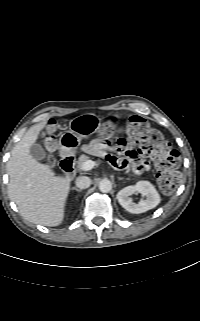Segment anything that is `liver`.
Here are the masks:
<instances>
[{"label": "liver", "mask_w": 200, "mask_h": 321, "mask_svg": "<svg viewBox=\"0 0 200 321\" xmlns=\"http://www.w3.org/2000/svg\"><path fill=\"white\" fill-rule=\"evenodd\" d=\"M45 126L42 122L30 127L11 151L8 194L24 219L54 227L64 219L71 178L55 176L53 170L30 155V147Z\"/></svg>", "instance_id": "1"}]
</instances>
